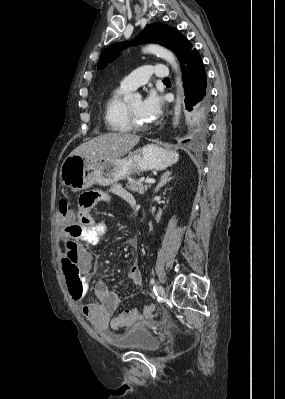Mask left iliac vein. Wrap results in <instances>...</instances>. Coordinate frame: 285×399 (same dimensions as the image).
<instances>
[{
    "mask_svg": "<svg viewBox=\"0 0 285 399\" xmlns=\"http://www.w3.org/2000/svg\"><path fill=\"white\" fill-rule=\"evenodd\" d=\"M157 291H158L159 296L163 299L165 297V291H164V288L162 287V285L158 286Z\"/></svg>",
    "mask_w": 285,
    "mask_h": 399,
    "instance_id": "obj_1",
    "label": "left iliac vein"
}]
</instances>
